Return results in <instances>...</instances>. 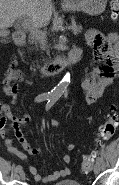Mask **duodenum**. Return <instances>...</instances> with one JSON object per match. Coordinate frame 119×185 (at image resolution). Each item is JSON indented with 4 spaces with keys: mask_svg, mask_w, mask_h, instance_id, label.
Instances as JSON below:
<instances>
[{
    "mask_svg": "<svg viewBox=\"0 0 119 185\" xmlns=\"http://www.w3.org/2000/svg\"><path fill=\"white\" fill-rule=\"evenodd\" d=\"M15 42L18 45H24L26 42V34L24 32H17L14 36ZM82 51L80 48L70 50L66 55L56 57L49 63L45 64L40 69L42 76H51L59 73L67 66L78 62L81 58Z\"/></svg>",
    "mask_w": 119,
    "mask_h": 185,
    "instance_id": "1",
    "label": "duodenum"
}]
</instances>
